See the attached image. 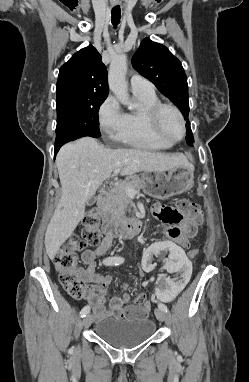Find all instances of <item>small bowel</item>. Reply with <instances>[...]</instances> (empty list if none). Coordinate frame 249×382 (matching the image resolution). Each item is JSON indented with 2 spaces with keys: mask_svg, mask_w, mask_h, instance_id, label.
Listing matches in <instances>:
<instances>
[{
  "mask_svg": "<svg viewBox=\"0 0 249 382\" xmlns=\"http://www.w3.org/2000/svg\"><path fill=\"white\" fill-rule=\"evenodd\" d=\"M152 210L158 220L169 225L166 232L168 239L177 241V245H181L182 250L189 248L190 239L196 236L200 222L193 217L183 216L179 211L162 204L154 205ZM166 210H168L169 216L164 214ZM113 241V237L106 235L102 243L95 249L83 251L81 259L88 266L86 270L78 269L81 279L86 284V293L83 298L92 306L93 315L96 319L109 317L144 319L150 311V305L138 306L134 304L129 306L130 295L128 292L122 296L112 297L108 309L104 306L105 293L112 282V276L95 272L96 259L108 251ZM150 281L144 282V285ZM124 289H128L127 284H124Z\"/></svg>",
  "mask_w": 249,
  "mask_h": 382,
  "instance_id": "small-bowel-1",
  "label": "small bowel"
}]
</instances>
